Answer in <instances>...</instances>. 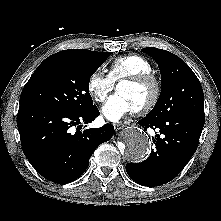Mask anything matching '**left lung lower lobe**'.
<instances>
[{"label":"left lung lower lobe","instance_id":"obj_1","mask_svg":"<svg viewBox=\"0 0 221 221\" xmlns=\"http://www.w3.org/2000/svg\"><path fill=\"white\" fill-rule=\"evenodd\" d=\"M205 119L189 114H173L160 119L138 121L145 130L157 129L155 149L143 162L126 165L130 178L142 186H159L173 180L195 153Z\"/></svg>","mask_w":221,"mask_h":221}]
</instances>
